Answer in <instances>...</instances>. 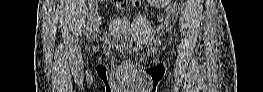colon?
Wrapping results in <instances>:
<instances>
[{
    "label": "colon",
    "mask_w": 263,
    "mask_h": 92,
    "mask_svg": "<svg viewBox=\"0 0 263 92\" xmlns=\"http://www.w3.org/2000/svg\"><path fill=\"white\" fill-rule=\"evenodd\" d=\"M149 2L155 4L156 7H160V6H162L163 4H166V3L170 2V1H168V0H151V1H149Z\"/></svg>",
    "instance_id": "obj_1"
}]
</instances>
